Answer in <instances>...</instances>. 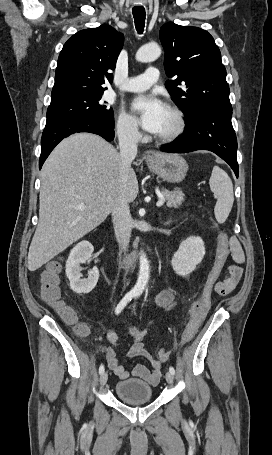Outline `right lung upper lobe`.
<instances>
[{
	"mask_svg": "<svg viewBox=\"0 0 272 455\" xmlns=\"http://www.w3.org/2000/svg\"><path fill=\"white\" fill-rule=\"evenodd\" d=\"M124 37L109 25L81 30L63 46L55 72L51 101L103 94L112 83Z\"/></svg>",
	"mask_w": 272,
	"mask_h": 455,
	"instance_id": "right-lung-upper-lobe-1",
	"label": "right lung upper lobe"
}]
</instances>
